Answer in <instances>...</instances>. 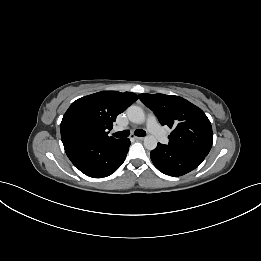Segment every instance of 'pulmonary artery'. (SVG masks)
<instances>
[{
  "mask_svg": "<svg viewBox=\"0 0 261 261\" xmlns=\"http://www.w3.org/2000/svg\"><path fill=\"white\" fill-rule=\"evenodd\" d=\"M147 128L149 132L160 142L165 144L167 142L166 135L164 131L159 126L154 115L150 114L147 117ZM119 130V129H117Z\"/></svg>",
  "mask_w": 261,
  "mask_h": 261,
  "instance_id": "pulmonary-artery-1",
  "label": "pulmonary artery"
}]
</instances>
